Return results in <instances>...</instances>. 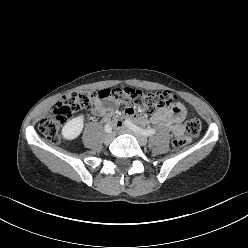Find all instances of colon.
<instances>
[{"label":"colon","instance_id":"5ec220e1","mask_svg":"<svg viewBox=\"0 0 248 248\" xmlns=\"http://www.w3.org/2000/svg\"><path fill=\"white\" fill-rule=\"evenodd\" d=\"M97 98H108L126 105L131 110L139 109L148 112L175 104L178 101L177 97L169 91L148 92L133 88H114L99 92L74 90L63 96L56 106L40 120V132L51 143H59L64 124L77 111L90 108ZM201 128L202 125L198 119L189 118L185 123L186 135L175 137L172 142L173 146L175 148L184 147L192 138L200 134Z\"/></svg>","mask_w":248,"mask_h":248}]
</instances>
